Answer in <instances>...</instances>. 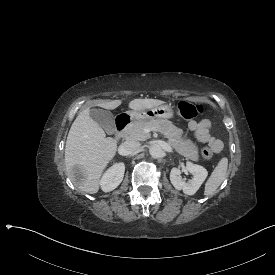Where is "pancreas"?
<instances>
[{
    "mask_svg": "<svg viewBox=\"0 0 275 275\" xmlns=\"http://www.w3.org/2000/svg\"><path fill=\"white\" fill-rule=\"evenodd\" d=\"M157 129L163 133L168 139V143L181 155L198 161V149L191 140H182L181 136L183 130L174 126L171 121L166 119H155L149 122L135 121L128 125L124 131L127 139H135L145 141L150 138V134L146 133L144 129Z\"/></svg>",
    "mask_w": 275,
    "mask_h": 275,
    "instance_id": "cf45deb5",
    "label": "pancreas"
}]
</instances>
